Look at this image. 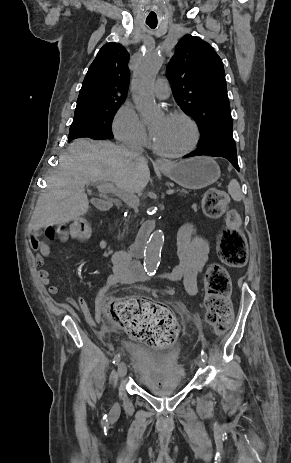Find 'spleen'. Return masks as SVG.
I'll return each instance as SVG.
<instances>
[{
    "mask_svg": "<svg viewBox=\"0 0 291 463\" xmlns=\"http://www.w3.org/2000/svg\"><path fill=\"white\" fill-rule=\"evenodd\" d=\"M228 192L235 201H241L243 194L240 185L236 179H232L228 185Z\"/></svg>",
    "mask_w": 291,
    "mask_h": 463,
    "instance_id": "3e777b00",
    "label": "spleen"
}]
</instances>
